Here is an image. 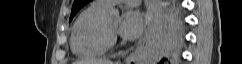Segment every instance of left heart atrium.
Masks as SVG:
<instances>
[{
    "label": "left heart atrium",
    "instance_id": "39dd6f15",
    "mask_svg": "<svg viewBox=\"0 0 242 64\" xmlns=\"http://www.w3.org/2000/svg\"><path fill=\"white\" fill-rule=\"evenodd\" d=\"M143 27L142 15L136 10H126L122 15L118 31L123 37L134 39L141 35Z\"/></svg>",
    "mask_w": 242,
    "mask_h": 64
}]
</instances>
